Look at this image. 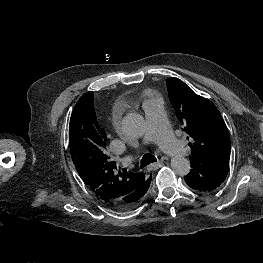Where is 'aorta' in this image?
<instances>
[{"label":"aorta","mask_w":263,"mask_h":263,"mask_svg":"<svg viewBox=\"0 0 263 263\" xmlns=\"http://www.w3.org/2000/svg\"><path fill=\"white\" fill-rule=\"evenodd\" d=\"M123 132L130 138H140L145 132V120L139 113H128L122 120ZM173 172L179 176H185L190 172V161L182 156H176L171 160Z\"/></svg>","instance_id":"aorta-1"}]
</instances>
